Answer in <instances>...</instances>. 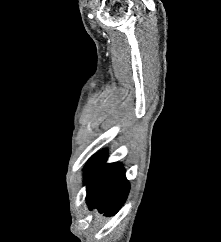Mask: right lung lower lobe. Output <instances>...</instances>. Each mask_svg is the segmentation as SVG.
Here are the masks:
<instances>
[{
	"label": "right lung lower lobe",
	"mask_w": 221,
	"mask_h": 242,
	"mask_svg": "<svg viewBox=\"0 0 221 242\" xmlns=\"http://www.w3.org/2000/svg\"><path fill=\"white\" fill-rule=\"evenodd\" d=\"M106 152L102 151L90 158L85 166L87 202L89 209L110 216L121 208L129 191L125 171L118 163L106 164Z\"/></svg>",
	"instance_id": "98d812e1"
}]
</instances>
